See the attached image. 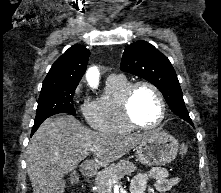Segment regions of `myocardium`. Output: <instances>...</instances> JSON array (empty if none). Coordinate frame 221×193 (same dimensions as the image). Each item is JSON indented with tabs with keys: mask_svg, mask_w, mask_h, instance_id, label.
I'll use <instances>...</instances> for the list:
<instances>
[{
	"mask_svg": "<svg viewBox=\"0 0 221 193\" xmlns=\"http://www.w3.org/2000/svg\"><path fill=\"white\" fill-rule=\"evenodd\" d=\"M141 86H146L152 89L154 93L156 94L160 103V115H159L158 120L154 124L148 125V126L141 125L138 122H136L131 111L132 97L134 95L135 90ZM121 108H122V113L126 122L131 127L135 129H139V130L151 131V130H155L159 128L164 122L165 117H166L167 106H166V101H165L163 93L154 83L147 81V80H140V81L130 83L127 86L121 99Z\"/></svg>",
	"mask_w": 221,
	"mask_h": 193,
	"instance_id": "myocardium-1",
	"label": "myocardium"
}]
</instances>
